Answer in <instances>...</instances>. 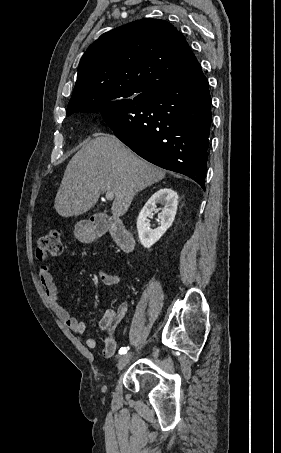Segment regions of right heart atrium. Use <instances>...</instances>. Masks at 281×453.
Returning a JSON list of instances; mask_svg holds the SVG:
<instances>
[{
	"mask_svg": "<svg viewBox=\"0 0 281 453\" xmlns=\"http://www.w3.org/2000/svg\"><path fill=\"white\" fill-rule=\"evenodd\" d=\"M98 124H99L98 120L95 119V120L93 121V127H94V128H97V127H98Z\"/></svg>",
	"mask_w": 281,
	"mask_h": 453,
	"instance_id": "1",
	"label": "right heart atrium"
}]
</instances>
